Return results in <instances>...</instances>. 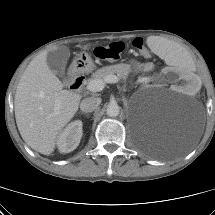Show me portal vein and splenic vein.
Listing matches in <instances>:
<instances>
[{
    "mask_svg": "<svg viewBox=\"0 0 215 215\" xmlns=\"http://www.w3.org/2000/svg\"><path fill=\"white\" fill-rule=\"evenodd\" d=\"M119 78L116 75H108L103 80L95 79L91 80L87 84V89L92 92L102 91L105 87V83H117Z\"/></svg>",
    "mask_w": 215,
    "mask_h": 215,
    "instance_id": "18ae733b",
    "label": "portal vein and splenic vein"
}]
</instances>
